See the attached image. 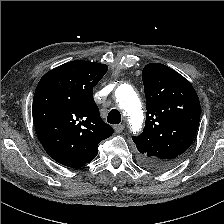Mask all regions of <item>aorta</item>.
Returning <instances> with one entry per match:
<instances>
[{
    "label": "aorta",
    "instance_id": "obj_1",
    "mask_svg": "<svg viewBox=\"0 0 224 224\" xmlns=\"http://www.w3.org/2000/svg\"><path fill=\"white\" fill-rule=\"evenodd\" d=\"M116 101L129 121L130 130L133 133L138 132L143 123V110L138 95L132 86L121 84L116 89Z\"/></svg>",
    "mask_w": 224,
    "mask_h": 224
}]
</instances>
